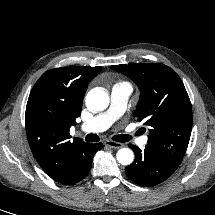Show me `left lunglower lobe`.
<instances>
[{"label": "left lung lower lobe", "instance_id": "1", "mask_svg": "<svg viewBox=\"0 0 215 215\" xmlns=\"http://www.w3.org/2000/svg\"><path fill=\"white\" fill-rule=\"evenodd\" d=\"M129 146L135 153V160L125 168V173L138 185L155 186L170 177L180 164L150 145L143 151L135 145Z\"/></svg>", "mask_w": 215, "mask_h": 215}]
</instances>
